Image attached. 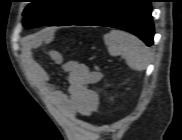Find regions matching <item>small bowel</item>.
Masks as SVG:
<instances>
[{"mask_svg":"<svg viewBox=\"0 0 182 140\" xmlns=\"http://www.w3.org/2000/svg\"><path fill=\"white\" fill-rule=\"evenodd\" d=\"M45 39L51 38V33L44 34ZM50 59L61 65L68 72V87L62 91L51 82L45 69L33 58L28 59V69L33 81L41 91L48 96L52 103L60 107L67 115L90 116L99 106V95L90 86L102 79V73L89 69L79 61L64 62L62 54L58 51L49 53Z\"/></svg>","mask_w":182,"mask_h":140,"instance_id":"obj_1","label":"small bowel"}]
</instances>
